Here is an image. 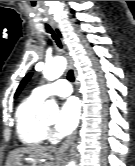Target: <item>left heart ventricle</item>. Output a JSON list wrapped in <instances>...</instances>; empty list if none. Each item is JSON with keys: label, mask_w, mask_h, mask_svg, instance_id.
Segmentation results:
<instances>
[{"label": "left heart ventricle", "mask_w": 135, "mask_h": 166, "mask_svg": "<svg viewBox=\"0 0 135 166\" xmlns=\"http://www.w3.org/2000/svg\"><path fill=\"white\" fill-rule=\"evenodd\" d=\"M45 123H47L48 125H50V124H52V121L45 120Z\"/></svg>", "instance_id": "left-heart-ventricle-1"}]
</instances>
